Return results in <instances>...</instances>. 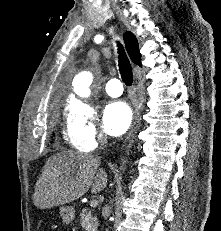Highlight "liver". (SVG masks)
<instances>
[{
  "label": "liver",
  "instance_id": "liver-1",
  "mask_svg": "<svg viewBox=\"0 0 221 231\" xmlns=\"http://www.w3.org/2000/svg\"><path fill=\"white\" fill-rule=\"evenodd\" d=\"M100 163L98 156L73 151L51 156L36 184L34 205L50 209L79 199L90 188L92 193L101 192L108 178Z\"/></svg>",
  "mask_w": 221,
  "mask_h": 231
}]
</instances>
